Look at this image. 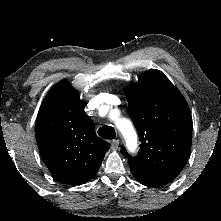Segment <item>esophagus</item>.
Wrapping results in <instances>:
<instances>
[{"mask_svg": "<svg viewBox=\"0 0 221 221\" xmlns=\"http://www.w3.org/2000/svg\"><path fill=\"white\" fill-rule=\"evenodd\" d=\"M119 140L118 139H115V140H113L112 142H111V149L112 150H117L118 149V147H119Z\"/></svg>", "mask_w": 221, "mask_h": 221, "instance_id": "1", "label": "esophagus"}]
</instances>
